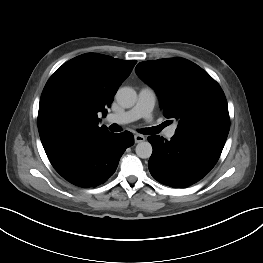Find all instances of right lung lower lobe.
Returning <instances> with one entry per match:
<instances>
[{"label":"right lung lower lobe","mask_w":263,"mask_h":263,"mask_svg":"<svg viewBox=\"0 0 263 263\" xmlns=\"http://www.w3.org/2000/svg\"><path fill=\"white\" fill-rule=\"evenodd\" d=\"M134 137L125 131L108 130L77 134L44 147L55 170L67 181L80 187H96L116 170L124 151Z\"/></svg>","instance_id":"1"}]
</instances>
